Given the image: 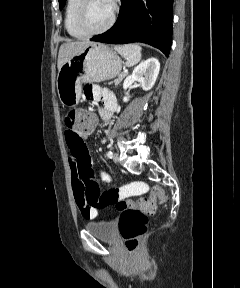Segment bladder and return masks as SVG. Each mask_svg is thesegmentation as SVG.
Here are the masks:
<instances>
[{"mask_svg": "<svg viewBox=\"0 0 240 288\" xmlns=\"http://www.w3.org/2000/svg\"><path fill=\"white\" fill-rule=\"evenodd\" d=\"M85 230L106 242H114L117 238L116 226L111 221L89 222L85 225Z\"/></svg>", "mask_w": 240, "mask_h": 288, "instance_id": "31cf9c89", "label": "bladder"}]
</instances>
